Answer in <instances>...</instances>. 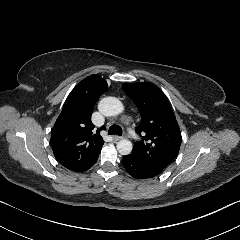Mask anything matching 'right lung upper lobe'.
I'll list each match as a JSON object with an SVG mask.
<instances>
[{"label": "right lung upper lobe", "mask_w": 240, "mask_h": 240, "mask_svg": "<svg viewBox=\"0 0 240 240\" xmlns=\"http://www.w3.org/2000/svg\"><path fill=\"white\" fill-rule=\"evenodd\" d=\"M107 88V82L98 75L83 79L69 94L52 128L54 156L67 169L86 171L101 152L104 141L100 130H94L91 116L96 101Z\"/></svg>", "instance_id": "right-lung-upper-lobe-1"}]
</instances>
